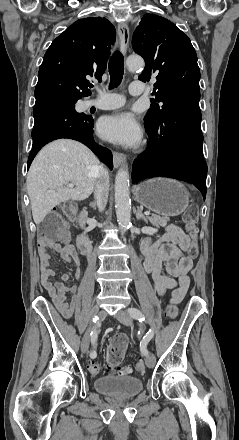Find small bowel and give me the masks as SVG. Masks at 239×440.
<instances>
[{
	"label": "small bowel",
	"instance_id": "small-bowel-1",
	"mask_svg": "<svg viewBox=\"0 0 239 440\" xmlns=\"http://www.w3.org/2000/svg\"><path fill=\"white\" fill-rule=\"evenodd\" d=\"M190 246V237L175 225H168L158 240L146 239L141 245L144 269L151 275L156 292L164 296L167 290H172L170 302L173 304L180 303L189 288V272L193 266V258L188 253ZM51 250L74 266L72 275L63 274L60 281H52L55 271L50 265ZM39 258L43 287L60 313L65 318H70L77 306V286L68 284L79 277L80 260L76 250L71 245L51 243L47 247H39ZM164 266L168 275L162 273ZM67 294L73 295L70 302L67 301Z\"/></svg>",
	"mask_w": 239,
	"mask_h": 440
}]
</instances>
